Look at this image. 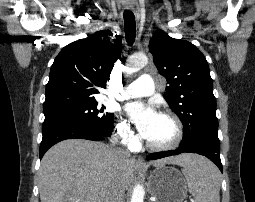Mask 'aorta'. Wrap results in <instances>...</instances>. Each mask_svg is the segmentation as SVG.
<instances>
[{"label": "aorta", "instance_id": "obj_1", "mask_svg": "<svg viewBox=\"0 0 255 202\" xmlns=\"http://www.w3.org/2000/svg\"><path fill=\"white\" fill-rule=\"evenodd\" d=\"M148 64V57L144 54L132 55L128 60V72L134 73ZM144 189L141 185H136L133 189L131 202H143Z\"/></svg>", "mask_w": 255, "mask_h": 202}]
</instances>
